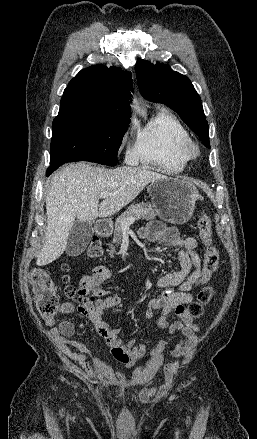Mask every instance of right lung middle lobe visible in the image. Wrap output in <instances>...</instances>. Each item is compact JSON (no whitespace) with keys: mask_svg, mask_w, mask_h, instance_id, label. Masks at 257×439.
<instances>
[{"mask_svg":"<svg viewBox=\"0 0 257 439\" xmlns=\"http://www.w3.org/2000/svg\"><path fill=\"white\" fill-rule=\"evenodd\" d=\"M130 117L88 112L57 116L52 124L50 165L85 160L114 166Z\"/></svg>","mask_w":257,"mask_h":439,"instance_id":"dd1d6c3e","label":"right lung middle lobe"}]
</instances>
